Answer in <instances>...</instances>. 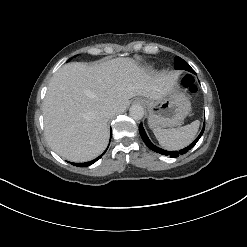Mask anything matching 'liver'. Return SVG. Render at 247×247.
I'll use <instances>...</instances> for the list:
<instances>
[{"mask_svg": "<svg viewBox=\"0 0 247 247\" xmlns=\"http://www.w3.org/2000/svg\"><path fill=\"white\" fill-rule=\"evenodd\" d=\"M177 79L176 73L148 72L130 58L66 64L51 78L43 102L47 142L69 161L92 160L109 142L106 108L121 113L135 96L162 99Z\"/></svg>", "mask_w": 247, "mask_h": 247, "instance_id": "obj_1", "label": "liver"}]
</instances>
